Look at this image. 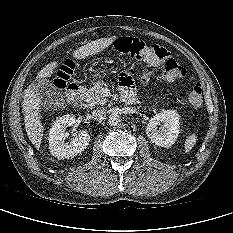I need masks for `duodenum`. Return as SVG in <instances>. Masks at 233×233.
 Masks as SVG:
<instances>
[{
	"label": "duodenum",
	"mask_w": 233,
	"mask_h": 233,
	"mask_svg": "<svg viewBox=\"0 0 233 233\" xmlns=\"http://www.w3.org/2000/svg\"><path fill=\"white\" fill-rule=\"evenodd\" d=\"M81 91V87L76 83H71L68 85L66 90V99L69 104H76L78 102V97ZM127 99H131L128 97Z\"/></svg>",
	"instance_id": "obj_1"
}]
</instances>
